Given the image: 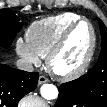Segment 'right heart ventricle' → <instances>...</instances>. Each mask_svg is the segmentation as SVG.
<instances>
[{
  "label": "right heart ventricle",
  "instance_id": "e07e8e85",
  "mask_svg": "<svg viewBox=\"0 0 107 107\" xmlns=\"http://www.w3.org/2000/svg\"><path fill=\"white\" fill-rule=\"evenodd\" d=\"M79 18L75 13H62L35 21L26 31V40L40 57H46L65 29Z\"/></svg>",
  "mask_w": 107,
  "mask_h": 107
}]
</instances>
